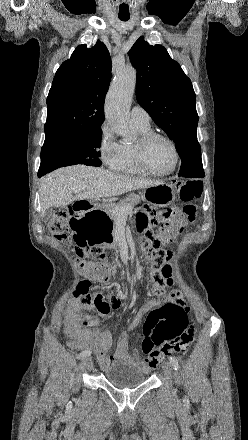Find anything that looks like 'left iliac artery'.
Masks as SVG:
<instances>
[{
	"label": "left iliac artery",
	"mask_w": 248,
	"mask_h": 440,
	"mask_svg": "<svg viewBox=\"0 0 248 440\" xmlns=\"http://www.w3.org/2000/svg\"><path fill=\"white\" fill-rule=\"evenodd\" d=\"M169 360H170V363H171V365L173 366V368H174L175 370H177V369L179 368V361H178V359H177L175 356H171V357L169 358Z\"/></svg>",
	"instance_id": "obj_1"
}]
</instances>
